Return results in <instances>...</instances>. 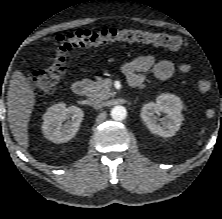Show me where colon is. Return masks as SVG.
<instances>
[{"mask_svg":"<svg viewBox=\"0 0 222 219\" xmlns=\"http://www.w3.org/2000/svg\"><path fill=\"white\" fill-rule=\"evenodd\" d=\"M116 41L152 43L172 50H180L186 45L182 37L165 33L118 28L81 29L58 36L49 50L48 67L30 73L29 80L36 92L49 93L59 85L66 73L69 51ZM212 85V81L209 79H201L197 84L198 90L202 94H207L212 89Z\"/></svg>","mask_w":222,"mask_h":219,"instance_id":"5ec220e1","label":"colon"}]
</instances>
